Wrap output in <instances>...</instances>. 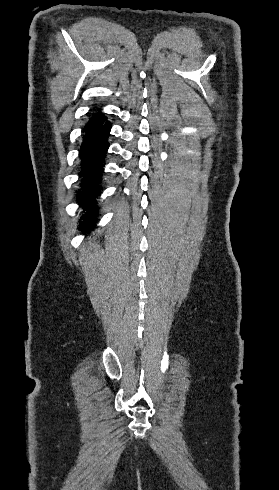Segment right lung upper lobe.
<instances>
[{"label":"right lung upper lobe","instance_id":"obj_1","mask_svg":"<svg viewBox=\"0 0 279 490\" xmlns=\"http://www.w3.org/2000/svg\"><path fill=\"white\" fill-rule=\"evenodd\" d=\"M90 120L89 122L85 125L83 132L84 133H89L94 130H97L98 128L109 124L110 122L107 121V118L101 113V110H99L96 113H93L90 115Z\"/></svg>","mask_w":279,"mask_h":490}]
</instances>
